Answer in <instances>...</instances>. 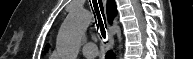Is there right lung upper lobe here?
<instances>
[{
    "label": "right lung upper lobe",
    "instance_id": "cb5924a9",
    "mask_svg": "<svg viewBox=\"0 0 193 59\" xmlns=\"http://www.w3.org/2000/svg\"><path fill=\"white\" fill-rule=\"evenodd\" d=\"M107 14H108V20L111 22L117 14L116 4L114 0H108Z\"/></svg>",
    "mask_w": 193,
    "mask_h": 59
}]
</instances>
